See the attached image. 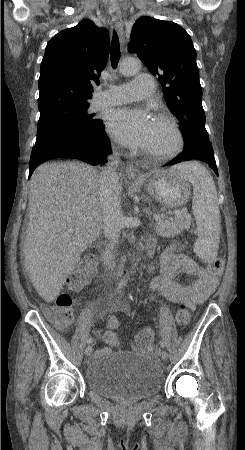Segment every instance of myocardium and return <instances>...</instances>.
<instances>
[{"label":"myocardium","mask_w":245,"mask_h":450,"mask_svg":"<svg viewBox=\"0 0 245 450\" xmlns=\"http://www.w3.org/2000/svg\"><path fill=\"white\" fill-rule=\"evenodd\" d=\"M155 122L163 124L173 134V143L165 149H146L145 154L152 158L167 159L180 153L185 144L184 135L177 121L169 114L162 113L155 117Z\"/></svg>","instance_id":"myocardium-1"}]
</instances>
